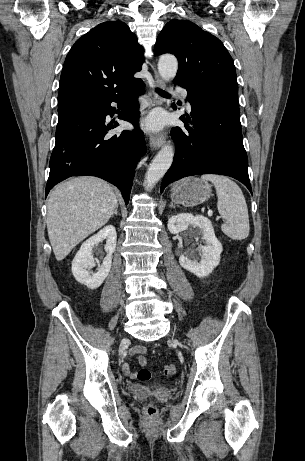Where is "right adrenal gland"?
<instances>
[{
	"label": "right adrenal gland",
	"instance_id": "1",
	"mask_svg": "<svg viewBox=\"0 0 305 461\" xmlns=\"http://www.w3.org/2000/svg\"><path fill=\"white\" fill-rule=\"evenodd\" d=\"M114 215H116V216L118 215V205L116 206V209H115L114 213L112 214V217H114Z\"/></svg>",
	"mask_w": 305,
	"mask_h": 461
}]
</instances>
